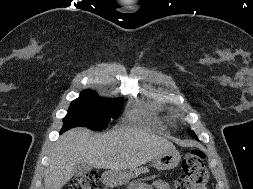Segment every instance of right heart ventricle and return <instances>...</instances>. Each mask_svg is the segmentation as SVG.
Returning a JSON list of instances; mask_svg holds the SVG:
<instances>
[{"label":"right heart ventricle","instance_id":"obj_1","mask_svg":"<svg viewBox=\"0 0 253 189\" xmlns=\"http://www.w3.org/2000/svg\"><path fill=\"white\" fill-rule=\"evenodd\" d=\"M129 118L133 122L144 124L151 118V113L144 108H137L129 114Z\"/></svg>","mask_w":253,"mask_h":189}]
</instances>
